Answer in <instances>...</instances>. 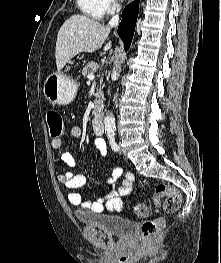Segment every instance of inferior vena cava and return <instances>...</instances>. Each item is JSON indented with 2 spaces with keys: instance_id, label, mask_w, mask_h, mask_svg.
I'll use <instances>...</instances> for the list:
<instances>
[{
  "instance_id": "inferior-vena-cava-1",
  "label": "inferior vena cava",
  "mask_w": 221,
  "mask_h": 263,
  "mask_svg": "<svg viewBox=\"0 0 221 263\" xmlns=\"http://www.w3.org/2000/svg\"><path fill=\"white\" fill-rule=\"evenodd\" d=\"M120 8L117 10V12H119ZM119 24V15L116 14L115 16H113L111 18V20L109 21V26L110 27H116Z\"/></svg>"
}]
</instances>
